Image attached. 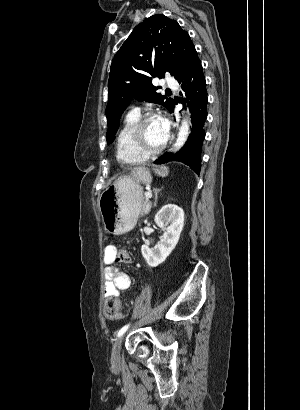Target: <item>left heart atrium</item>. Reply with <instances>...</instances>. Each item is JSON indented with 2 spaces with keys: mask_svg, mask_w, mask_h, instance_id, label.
<instances>
[{
  "mask_svg": "<svg viewBox=\"0 0 300 410\" xmlns=\"http://www.w3.org/2000/svg\"><path fill=\"white\" fill-rule=\"evenodd\" d=\"M157 120H158V122H159V125H160L162 131L168 136V133H169V123H168V120H167L165 117H163V116L157 117Z\"/></svg>",
  "mask_w": 300,
  "mask_h": 410,
  "instance_id": "left-heart-atrium-1",
  "label": "left heart atrium"
}]
</instances>
